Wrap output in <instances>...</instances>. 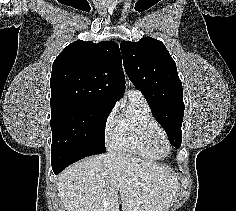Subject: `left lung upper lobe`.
Wrapping results in <instances>:
<instances>
[{
  "instance_id": "obj_1",
  "label": "left lung upper lobe",
  "mask_w": 236,
  "mask_h": 211,
  "mask_svg": "<svg viewBox=\"0 0 236 211\" xmlns=\"http://www.w3.org/2000/svg\"><path fill=\"white\" fill-rule=\"evenodd\" d=\"M120 49L130 81L145 96L171 145L179 148L185 106L175 61L165 45L151 37L138 42L123 41Z\"/></svg>"
}]
</instances>
